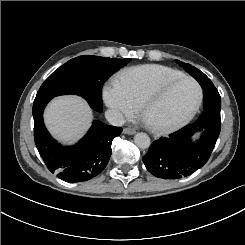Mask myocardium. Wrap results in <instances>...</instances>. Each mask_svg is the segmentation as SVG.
<instances>
[{
	"mask_svg": "<svg viewBox=\"0 0 245 245\" xmlns=\"http://www.w3.org/2000/svg\"><path fill=\"white\" fill-rule=\"evenodd\" d=\"M178 81H188L192 83L196 89V99L191 109L181 118L163 122H153L148 118L149 100L153 93L164 86H170ZM203 92L200 84L192 77L181 75L178 77H171L159 79L152 82L142 93L139 100V110L146 126L156 132H168L178 129L187 124L195 115L202 102Z\"/></svg>",
	"mask_w": 245,
	"mask_h": 245,
	"instance_id": "myocardium-1",
	"label": "myocardium"
}]
</instances>
